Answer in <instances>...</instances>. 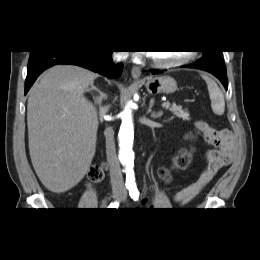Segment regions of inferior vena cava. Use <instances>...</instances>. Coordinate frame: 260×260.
Instances as JSON below:
<instances>
[{"mask_svg":"<svg viewBox=\"0 0 260 260\" xmlns=\"http://www.w3.org/2000/svg\"><path fill=\"white\" fill-rule=\"evenodd\" d=\"M113 60L119 62L127 58L125 53H113ZM107 109V108H106ZM106 154L107 160L110 166V179L113 188H124L123 176L121 173L119 161L117 159L115 142H114V132L112 128L106 129Z\"/></svg>","mask_w":260,"mask_h":260,"instance_id":"inferior-vena-cava-1","label":"inferior vena cava"}]
</instances>
